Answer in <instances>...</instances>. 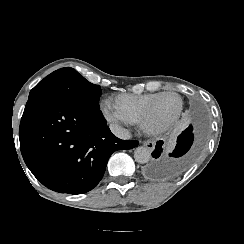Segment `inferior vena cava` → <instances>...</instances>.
Here are the masks:
<instances>
[{
	"label": "inferior vena cava",
	"instance_id": "inferior-vena-cava-1",
	"mask_svg": "<svg viewBox=\"0 0 244 244\" xmlns=\"http://www.w3.org/2000/svg\"><path fill=\"white\" fill-rule=\"evenodd\" d=\"M110 129L112 133L120 139L126 140L130 138V133L127 129L121 128L117 125H110Z\"/></svg>",
	"mask_w": 244,
	"mask_h": 244
}]
</instances>
